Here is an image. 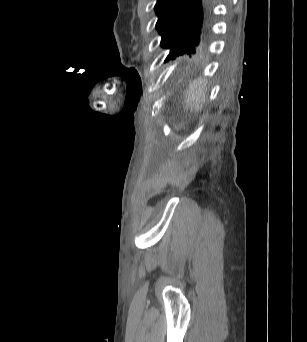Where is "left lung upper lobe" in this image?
<instances>
[{"instance_id": "left-lung-upper-lobe-1", "label": "left lung upper lobe", "mask_w": 307, "mask_h": 342, "mask_svg": "<svg viewBox=\"0 0 307 342\" xmlns=\"http://www.w3.org/2000/svg\"><path fill=\"white\" fill-rule=\"evenodd\" d=\"M156 29L161 46L170 49L166 61L180 55L199 52L209 26V17L202 0H157Z\"/></svg>"}]
</instances>
